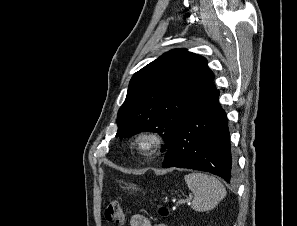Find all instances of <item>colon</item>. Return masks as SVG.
<instances>
[{"label": "colon", "mask_w": 297, "mask_h": 226, "mask_svg": "<svg viewBox=\"0 0 297 226\" xmlns=\"http://www.w3.org/2000/svg\"><path fill=\"white\" fill-rule=\"evenodd\" d=\"M159 213L163 216L168 214L166 207H160ZM105 219L111 223L121 224L123 222V209L120 203L111 201L105 209Z\"/></svg>", "instance_id": "colon-1"}]
</instances>
